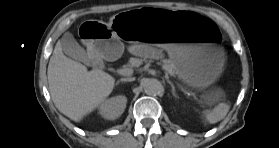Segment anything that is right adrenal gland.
<instances>
[{"instance_id": "obj_1", "label": "right adrenal gland", "mask_w": 279, "mask_h": 148, "mask_svg": "<svg viewBox=\"0 0 279 148\" xmlns=\"http://www.w3.org/2000/svg\"><path fill=\"white\" fill-rule=\"evenodd\" d=\"M120 82H123L122 80L118 81L117 84H119Z\"/></svg>"}]
</instances>
